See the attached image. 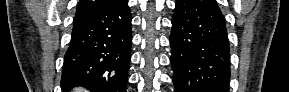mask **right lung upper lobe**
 <instances>
[{
    "label": "right lung upper lobe",
    "instance_id": "cb5924a9",
    "mask_svg": "<svg viewBox=\"0 0 289 92\" xmlns=\"http://www.w3.org/2000/svg\"><path fill=\"white\" fill-rule=\"evenodd\" d=\"M118 0H80L76 14L102 9L114 4Z\"/></svg>",
    "mask_w": 289,
    "mask_h": 92
}]
</instances>
